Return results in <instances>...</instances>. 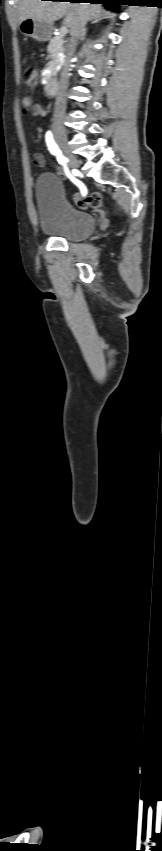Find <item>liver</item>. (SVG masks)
Instances as JSON below:
<instances>
[{
	"mask_svg": "<svg viewBox=\"0 0 162 851\" xmlns=\"http://www.w3.org/2000/svg\"><path fill=\"white\" fill-rule=\"evenodd\" d=\"M85 13L88 20L100 17L105 12L100 5L78 2L21 0L18 7L19 23L27 18L37 21L53 23L63 17V24L71 31L79 18V14Z\"/></svg>",
	"mask_w": 162,
	"mask_h": 851,
	"instance_id": "1",
	"label": "liver"
}]
</instances>
